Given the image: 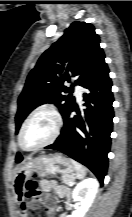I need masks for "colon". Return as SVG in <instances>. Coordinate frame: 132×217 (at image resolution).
<instances>
[{"label":"colon","instance_id":"colon-1","mask_svg":"<svg viewBox=\"0 0 132 217\" xmlns=\"http://www.w3.org/2000/svg\"><path fill=\"white\" fill-rule=\"evenodd\" d=\"M39 195H40V190L37 181L35 179L28 180L25 184L24 191H23L24 198L30 201V200L38 199ZM28 217L31 216L28 215Z\"/></svg>","mask_w":132,"mask_h":217}]
</instances>
